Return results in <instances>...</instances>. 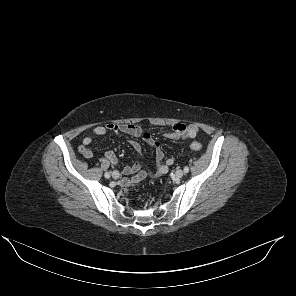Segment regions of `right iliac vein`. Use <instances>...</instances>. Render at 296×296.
Returning a JSON list of instances; mask_svg holds the SVG:
<instances>
[{
	"label": "right iliac vein",
	"instance_id": "obj_1",
	"mask_svg": "<svg viewBox=\"0 0 296 296\" xmlns=\"http://www.w3.org/2000/svg\"><path fill=\"white\" fill-rule=\"evenodd\" d=\"M119 172H117V171H114L113 173H112V177L114 178V179H117V178H119Z\"/></svg>",
	"mask_w": 296,
	"mask_h": 296
}]
</instances>
